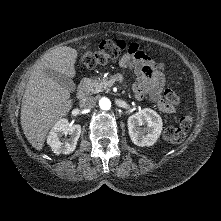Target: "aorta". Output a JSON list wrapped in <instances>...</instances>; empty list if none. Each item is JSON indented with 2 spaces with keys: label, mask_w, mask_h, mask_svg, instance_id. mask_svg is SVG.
<instances>
[{
  "label": "aorta",
  "mask_w": 221,
  "mask_h": 221,
  "mask_svg": "<svg viewBox=\"0 0 221 221\" xmlns=\"http://www.w3.org/2000/svg\"><path fill=\"white\" fill-rule=\"evenodd\" d=\"M99 106L102 110H109L111 107V101L106 97H102L99 100Z\"/></svg>",
  "instance_id": "1"
}]
</instances>
